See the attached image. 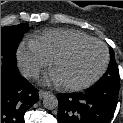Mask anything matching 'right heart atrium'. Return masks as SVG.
<instances>
[{
	"label": "right heart atrium",
	"mask_w": 123,
	"mask_h": 123,
	"mask_svg": "<svg viewBox=\"0 0 123 123\" xmlns=\"http://www.w3.org/2000/svg\"><path fill=\"white\" fill-rule=\"evenodd\" d=\"M17 61L22 73L29 79L37 78L50 65V61L30 44L18 48Z\"/></svg>",
	"instance_id": "right-heart-atrium-1"
}]
</instances>
